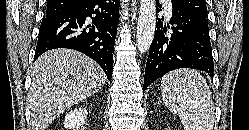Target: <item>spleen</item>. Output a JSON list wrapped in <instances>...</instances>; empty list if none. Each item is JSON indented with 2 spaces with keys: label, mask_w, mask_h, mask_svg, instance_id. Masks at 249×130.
<instances>
[{
  "label": "spleen",
  "mask_w": 249,
  "mask_h": 130,
  "mask_svg": "<svg viewBox=\"0 0 249 130\" xmlns=\"http://www.w3.org/2000/svg\"><path fill=\"white\" fill-rule=\"evenodd\" d=\"M161 92L164 104L178 114L184 130H213L212 92L200 72L184 68L165 74Z\"/></svg>",
  "instance_id": "1"
}]
</instances>
